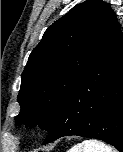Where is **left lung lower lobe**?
<instances>
[{"mask_svg":"<svg viewBox=\"0 0 123 152\" xmlns=\"http://www.w3.org/2000/svg\"><path fill=\"white\" fill-rule=\"evenodd\" d=\"M71 135L100 139L123 152V34L118 25L59 105L43 144Z\"/></svg>","mask_w":123,"mask_h":152,"instance_id":"0a47b994","label":"left lung lower lobe"}]
</instances>
